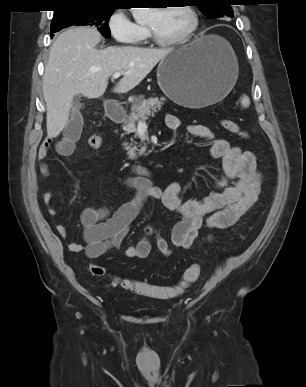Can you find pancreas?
<instances>
[{"instance_id": "cf45deb5", "label": "pancreas", "mask_w": 306, "mask_h": 387, "mask_svg": "<svg viewBox=\"0 0 306 387\" xmlns=\"http://www.w3.org/2000/svg\"><path fill=\"white\" fill-rule=\"evenodd\" d=\"M166 101L165 97L148 98L145 99L144 96L133 97L132 110L131 113L125 117L124 120V130L127 134L135 133L137 136V126L136 123L146 121L149 116H153L155 113L161 110L162 105ZM124 149L127 150V155L129 159H137L139 156L143 155L146 150L145 146L138 145L137 143L127 142L123 144ZM140 147V149L138 148Z\"/></svg>"}]
</instances>
